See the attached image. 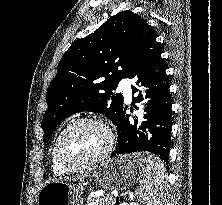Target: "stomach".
<instances>
[{
	"instance_id": "stomach-1",
	"label": "stomach",
	"mask_w": 222,
	"mask_h": 205,
	"mask_svg": "<svg viewBox=\"0 0 222 205\" xmlns=\"http://www.w3.org/2000/svg\"><path fill=\"white\" fill-rule=\"evenodd\" d=\"M143 156L125 155L107 160L94 169L92 176L106 190H126L140 180ZM38 205H82L80 190L64 181L49 182L38 194Z\"/></svg>"
}]
</instances>
